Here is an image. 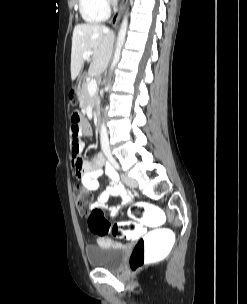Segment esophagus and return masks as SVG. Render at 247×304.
<instances>
[{
    "mask_svg": "<svg viewBox=\"0 0 247 304\" xmlns=\"http://www.w3.org/2000/svg\"><path fill=\"white\" fill-rule=\"evenodd\" d=\"M127 2H128V0H122L119 9L117 10V12L115 13V15L111 19V25H112L113 28L117 27L119 19H120L122 13H123V10H124Z\"/></svg>",
    "mask_w": 247,
    "mask_h": 304,
    "instance_id": "34e87169",
    "label": "esophagus"
}]
</instances>
